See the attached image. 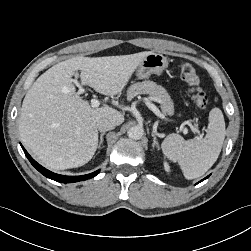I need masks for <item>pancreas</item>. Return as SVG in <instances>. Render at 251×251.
Listing matches in <instances>:
<instances>
[{"mask_svg": "<svg viewBox=\"0 0 251 251\" xmlns=\"http://www.w3.org/2000/svg\"><path fill=\"white\" fill-rule=\"evenodd\" d=\"M140 94H147L149 97L161 102L162 112L166 115H173L174 104L167 91L153 81H143L132 84L127 90V99L131 100Z\"/></svg>", "mask_w": 251, "mask_h": 251, "instance_id": "obj_1", "label": "pancreas"}]
</instances>
